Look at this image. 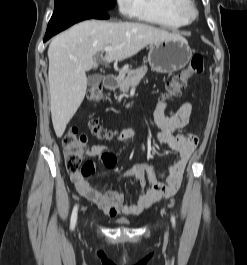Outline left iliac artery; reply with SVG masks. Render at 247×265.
<instances>
[{
  "instance_id": "left-iliac-artery-1",
  "label": "left iliac artery",
  "mask_w": 247,
  "mask_h": 265,
  "mask_svg": "<svg viewBox=\"0 0 247 265\" xmlns=\"http://www.w3.org/2000/svg\"><path fill=\"white\" fill-rule=\"evenodd\" d=\"M171 221H172L173 226H175V217L174 216L171 217Z\"/></svg>"
}]
</instances>
